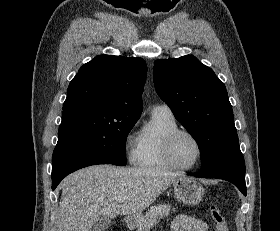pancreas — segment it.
<instances>
[{"mask_svg": "<svg viewBox=\"0 0 280 231\" xmlns=\"http://www.w3.org/2000/svg\"><path fill=\"white\" fill-rule=\"evenodd\" d=\"M170 209L171 205H169V203H157V205H151L145 215L135 219V227H137V231H150L151 227L158 223L159 217H167V215H169Z\"/></svg>", "mask_w": 280, "mask_h": 231, "instance_id": "1", "label": "pancreas"}]
</instances>
